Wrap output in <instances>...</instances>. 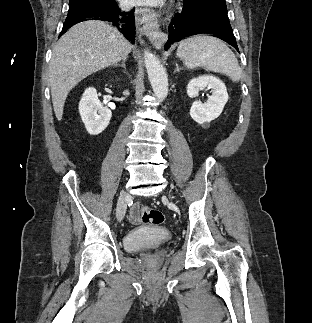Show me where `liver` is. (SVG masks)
Here are the masks:
<instances>
[{"label":"liver","mask_w":312,"mask_h":323,"mask_svg":"<svg viewBox=\"0 0 312 323\" xmlns=\"http://www.w3.org/2000/svg\"><path fill=\"white\" fill-rule=\"evenodd\" d=\"M130 52V42L108 22L87 20L72 26L54 46L48 70L58 122L72 88L87 76L125 60Z\"/></svg>","instance_id":"6515ba94"}]
</instances>
